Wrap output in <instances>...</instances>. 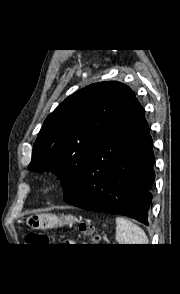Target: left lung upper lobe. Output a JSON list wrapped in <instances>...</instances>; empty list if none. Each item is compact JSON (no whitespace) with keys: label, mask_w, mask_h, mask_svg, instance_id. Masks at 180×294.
Returning a JSON list of instances; mask_svg holds the SVG:
<instances>
[{"label":"left lung upper lobe","mask_w":180,"mask_h":294,"mask_svg":"<svg viewBox=\"0 0 180 294\" xmlns=\"http://www.w3.org/2000/svg\"><path fill=\"white\" fill-rule=\"evenodd\" d=\"M135 99L134 92L117 81L75 92L46 118L28 169L54 172L65 197L72 195L94 153Z\"/></svg>","instance_id":"left-lung-upper-lobe-1"}]
</instances>
